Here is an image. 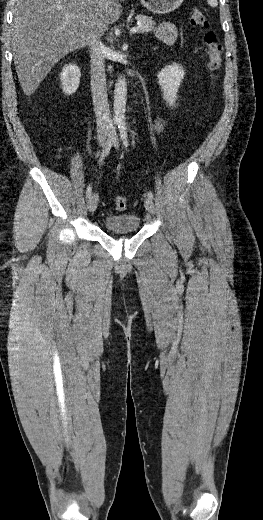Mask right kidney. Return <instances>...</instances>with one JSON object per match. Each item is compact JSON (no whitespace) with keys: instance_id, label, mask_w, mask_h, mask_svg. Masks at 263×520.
<instances>
[{"instance_id":"ca27d5eb","label":"right kidney","mask_w":263,"mask_h":520,"mask_svg":"<svg viewBox=\"0 0 263 520\" xmlns=\"http://www.w3.org/2000/svg\"><path fill=\"white\" fill-rule=\"evenodd\" d=\"M81 71L78 66L65 65L60 74L62 90L66 95H72L80 83Z\"/></svg>"}]
</instances>
